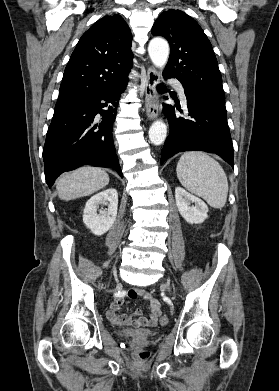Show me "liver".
Wrapping results in <instances>:
<instances>
[{
  "mask_svg": "<svg viewBox=\"0 0 279 391\" xmlns=\"http://www.w3.org/2000/svg\"><path fill=\"white\" fill-rule=\"evenodd\" d=\"M109 183V175L101 168L83 166L62 176L56 184L58 196L62 200H72L88 196L104 188Z\"/></svg>",
  "mask_w": 279,
  "mask_h": 391,
  "instance_id": "6515ba94",
  "label": "liver"
}]
</instances>
